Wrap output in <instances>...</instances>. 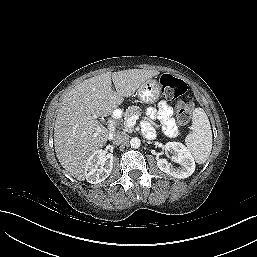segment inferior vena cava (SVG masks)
<instances>
[{
    "mask_svg": "<svg viewBox=\"0 0 257 257\" xmlns=\"http://www.w3.org/2000/svg\"><path fill=\"white\" fill-rule=\"evenodd\" d=\"M129 140V136L125 133H118L113 138V144L122 145L126 144Z\"/></svg>",
    "mask_w": 257,
    "mask_h": 257,
    "instance_id": "inferior-vena-cava-1",
    "label": "inferior vena cava"
}]
</instances>
